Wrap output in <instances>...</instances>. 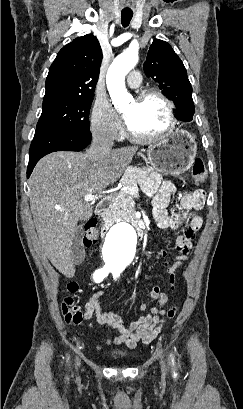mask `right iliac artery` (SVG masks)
<instances>
[{"label":"right iliac artery","mask_w":243,"mask_h":409,"mask_svg":"<svg viewBox=\"0 0 243 409\" xmlns=\"http://www.w3.org/2000/svg\"><path fill=\"white\" fill-rule=\"evenodd\" d=\"M109 272H110V269H109V268H105V267L96 270V271L94 272V274H93V278H94L95 282H96V283L101 282L105 277L108 276Z\"/></svg>","instance_id":"right-iliac-artery-1"}]
</instances>
